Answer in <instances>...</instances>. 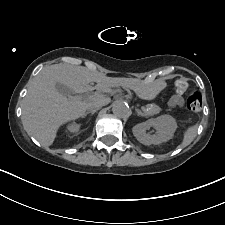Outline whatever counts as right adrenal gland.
Listing matches in <instances>:
<instances>
[{
	"mask_svg": "<svg viewBox=\"0 0 225 225\" xmlns=\"http://www.w3.org/2000/svg\"><path fill=\"white\" fill-rule=\"evenodd\" d=\"M96 111H97V110H92V111L90 110V111H87V112L85 113L84 117H86L88 114L93 115Z\"/></svg>",
	"mask_w": 225,
	"mask_h": 225,
	"instance_id": "1",
	"label": "right adrenal gland"
}]
</instances>
